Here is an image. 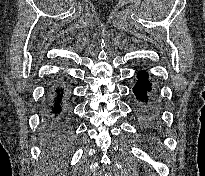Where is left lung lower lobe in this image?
Listing matches in <instances>:
<instances>
[{"label":"left lung lower lobe","mask_w":205,"mask_h":176,"mask_svg":"<svg viewBox=\"0 0 205 176\" xmlns=\"http://www.w3.org/2000/svg\"><path fill=\"white\" fill-rule=\"evenodd\" d=\"M137 82L133 87V92L136 99L141 103L140 111L146 119H151L154 115L153 104L151 100L152 83L149 80L148 73L145 71H139L137 73Z\"/></svg>","instance_id":"1"}]
</instances>
